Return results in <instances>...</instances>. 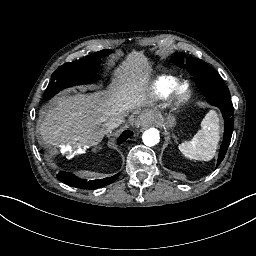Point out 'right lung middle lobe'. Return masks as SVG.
<instances>
[{
  "label": "right lung middle lobe",
  "instance_id": "1",
  "mask_svg": "<svg viewBox=\"0 0 256 256\" xmlns=\"http://www.w3.org/2000/svg\"><path fill=\"white\" fill-rule=\"evenodd\" d=\"M110 53L109 50H102L88 55L78 61L65 63L60 66L53 74L52 81L49 83L44 99H51L63 88L78 84L91 83L94 80L98 68V59Z\"/></svg>",
  "mask_w": 256,
  "mask_h": 256
}]
</instances>
